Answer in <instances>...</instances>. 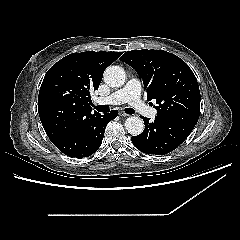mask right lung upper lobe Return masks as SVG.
<instances>
[{"instance_id":"obj_1","label":"right lung upper lobe","mask_w":240,"mask_h":240,"mask_svg":"<svg viewBox=\"0 0 240 240\" xmlns=\"http://www.w3.org/2000/svg\"><path fill=\"white\" fill-rule=\"evenodd\" d=\"M121 54L105 51L73 53L47 71L39 91L38 111L52 142L84 127L99 115L92 112L90 92L98 89L104 70Z\"/></svg>"}]
</instances>
